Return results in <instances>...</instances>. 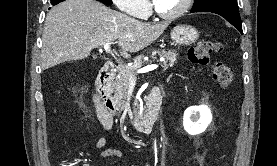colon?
<instances>
[{
  "label": "colon",
  "instance_id": "colon-1",
  "mask_svg": "<svg viewBox=\"0 0 277 166\" xmlns=\"http://www.w3.org/2000/svg\"><path fill=\"white\" fill-rule=\"evenodd\" d=\"M222 49L223 45L220 42L200 40L189 49L188 58L200 67L209 68L213 79L226 88L233 82L232 68L225 62L211 60L212 55L221 52Z\"/></svg>",
  "mask_w": 277,
  "mask_h": 166
}]
</instances>
